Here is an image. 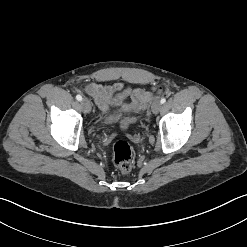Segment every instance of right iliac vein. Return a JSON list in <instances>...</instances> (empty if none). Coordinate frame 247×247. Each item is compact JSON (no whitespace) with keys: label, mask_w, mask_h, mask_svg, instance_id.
I'll return each instance as SVG.
<instances>
[{"label":"right iliac vein","mask_w":247,"mask_h":247,"mask_svg":"<svg viewBox=\"0 0 247 247\" xmlns=\"http://www.w3.org/2000/svg\"><path fill=\"white\" fill-rule=\"evenodd\" d=\"M81 105H82V108H83L85 113H89L90 112L91 105H90V102L87 99H83L81 101Z\"/></svg>","instance_id":"63e3f726"}]
</instances>
